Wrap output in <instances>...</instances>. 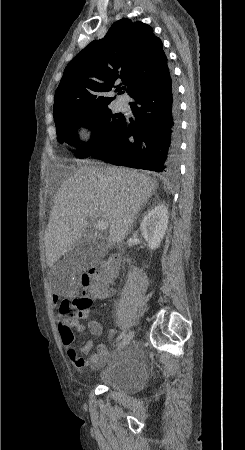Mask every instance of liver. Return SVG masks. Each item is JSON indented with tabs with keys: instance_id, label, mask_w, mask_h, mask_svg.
<instances>
[{
	"instance_id": "1",
	"label": "liver",
	"mask_w": 245,
	"mask_h": 450,
	"mask_svg": "<svg viewBox=\"0 0 245 450\" xmlns=\"http://www.w3.org/2000/svg\"><path fill=\"white\" fill-rule=\"evenodd\" d=\"M157 181L126 168L81 166L72 171L54 197L44 243L51 268L80 240L88 219L109 224V244L121 243L142 206L157 189Z\"/></svg>"
}]
</instances>
